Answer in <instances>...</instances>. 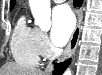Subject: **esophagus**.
<instances>
[{"label":"esophagus","mask_w":102,"mask_h":75,"mask_svg":"<svg viewBox=\"0 0 102 75\" xmlns=\"http://www.w3.org/2000/svg\"><path fill=\"white\" fill-rule=\"evenodd\" d=\"M76 14H77V25L75 30L73 31V34L70 38L69 44L67 46V49L65 51V54L63 55V57L60 60H65L68 57H70L76 47H77V43L79 40V36H80V30H81V24H82V19H83V12L81 8H76ZM53 69V66L50 64L47 66L46 71L51 72Z\"/></svg>","instance_id":"esophagus-1"}]
</instances>
